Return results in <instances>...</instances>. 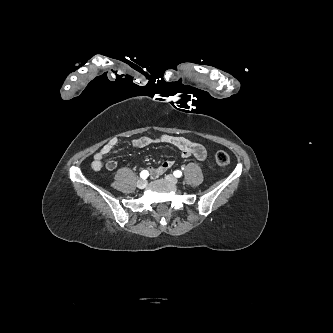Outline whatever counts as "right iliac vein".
<instances>
[{"label": "right iliac vein", "mask_w": 333, "mask_h": 333, "mask_svg": "<svg viewBox=\"0 0 333 333\" xmlns=\"http://www.w3.org/2000/svg\"><path fill=\"white\" fill-rule=\"evenodd\" d=\"M147 186V181L144 179H140L137 182V187L140 189H144Z\"/></svg>", "instance_id": "63e3f726"}]
</instances>
